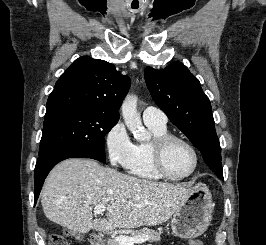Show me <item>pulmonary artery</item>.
Instances as JSON below:
<instances>
[{
    "mask_svg": "<svg viewBox=\"0 0 266 245\" xmlns=\"http://www.w3.org/2000/svg\"><path fill=\"white\" fill-rule=\"evenodd\" d=\"M142 116L145 123H159L166 125L168 121L166 114L154 106L146 107L143 110Z\"/></svg>",
    "mask_w": 266,
    "mask_h": 245,
    "instance_id": "obj_1",
    "label": "pulmonary artery"
}]
</instances>
